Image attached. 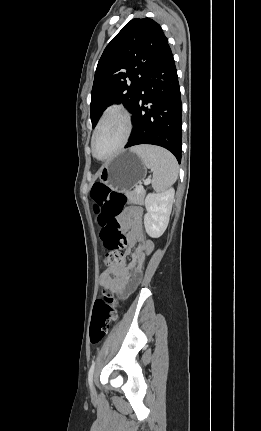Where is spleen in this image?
<instances>
[{
  "label": "spleen",
  "instance_id": "obj_1",
  "mask_svg": "<svg viewBox=\"0 0 261 431\" xmlns=\"http://www.w3.org/2000/svg\"><path fill=\"white\" fill-rule=\"evenodd\" d=\"M132 150L142 159L144 165L153 172L152 187L157 192H165L177 180L178 163L166 149L140 145Z\"/></svg>",
  "mask_w": 261,
  "mask_h": 431
}]
</instances>
